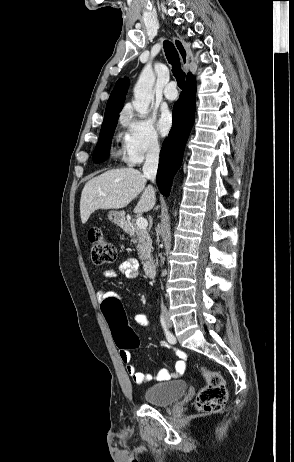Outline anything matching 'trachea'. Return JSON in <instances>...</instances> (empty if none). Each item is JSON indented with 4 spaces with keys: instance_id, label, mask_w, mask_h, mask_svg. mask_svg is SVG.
<instances>
[{
    "instance_id": "3493384b",
    "label": "trachea",
    "mask_w": 294,
    "mask_h": 462,
    "mask_svg": "<svg viewBox=\"0 0 294 462\" xmlns=\"http://www.w3.org/2000/svg\"><path fill=\"white\" fill-rule=\"evenodd\" d=\"M164 51L168 62L172 65V72L177 80L178 86L184 89L185 73L181 70L179 55L173 43L167 40L164 41Z\"/></svg>"
}]
</instances>
